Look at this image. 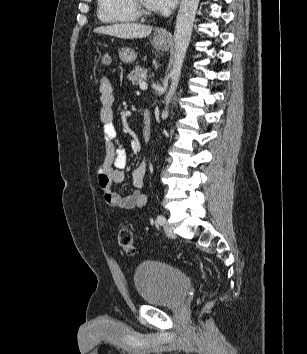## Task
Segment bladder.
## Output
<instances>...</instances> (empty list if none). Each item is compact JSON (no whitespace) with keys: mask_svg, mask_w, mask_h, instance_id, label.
<instances>
[{"mask_svg":"<svg viewBox=\"0 0 307 354\" xmlns=\"http://www.w3.org/2000/svg\"><path fill=\"white\" fill-rule=\"evenodd\" d=\"M134 284L144 303L177 306L185 298L191 281L186 273L160 261H144L134 271Z\"/></svg>","mask_w":307,"mask_h":354,"instance_id":"obj_1","label":"bladder"}]
</instances>
